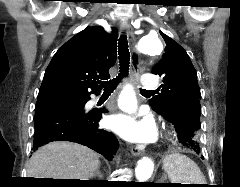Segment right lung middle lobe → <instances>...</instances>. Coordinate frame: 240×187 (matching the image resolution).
<instances>
[{
    "label": "right lung middle lobe",
    "instance_id": "1",
    "mask_svg": "<svg viewBox=\"0 0 240 187\" xmlns=\"http://www.w3.org/2000/svg\"><path fill=\"white\" fill-rule=\"evenodd\" d=\"M54 105L63 106L70 110H78V109L84 108L85 99L84 98L62 99V100L54 101L45 105H39V106H36L35 113Z\"/></svg>",
    "mask_w": 240,
    "mask_h": 187
}]
</instances>
